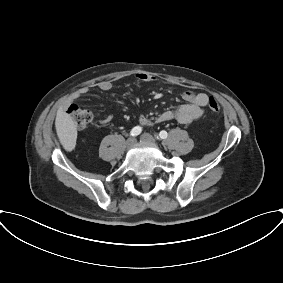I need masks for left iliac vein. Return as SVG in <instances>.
Here are the masks:
<instances>
[{
    "instance_id": "obj_1",
    "label": "left iliac vein",
    "mask_w": 283,
    "mask_h": 283,
    "mask_svg": "<svg viewBox=\"0 0 283 283\" xmlns=\"http://www.w3.org/2000/svg\"><path fill=\"white\" fill-rule=\"evenodd\" d=\"M141 140L143 142H147V143H151V144H155L156 143V140L153 138V136H151L150 134L148 133H144L141 135Z\"/></svg>"
}]
</instances>
